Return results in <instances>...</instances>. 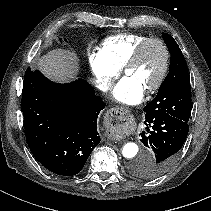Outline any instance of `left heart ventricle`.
Returning <instances> with one entry per match:
<instances>
[{"label":"left heart ventricle","instance_id":"1","mask_svg":"<svg viewBox=\"0 0 211 211\" xmlns=\"http://www.w3.org/2000/svg\"><path fill=\"white\" fill-rule=\"evenodd\" d=\"M163 53L156 44L148 45L141 54L138 62L128 68L126 76L134 78L146 91L152 86L161 72Z\"/></svg>","mask_w":211,"mask_h":211}]
</instances>
